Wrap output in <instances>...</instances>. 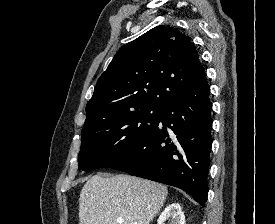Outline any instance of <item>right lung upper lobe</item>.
I'll use <instances>...</instances> for the list:
<instances>
[{"label":"right lung upper lobe","instance_id":"cb5924a9","mask_svg":"<svg viewBox=\"0 0 275 224\" xmlns=\"http://www.w3.org/2000/svg\"><path fill=\"white\" fill-rule=\"evenodd\" d=\"M190 38L157 26L122 47L98 79L83 129L140 109H164L203 74Z\"/></svg>","mask_w":275,"mask_h":224}]
</instances>
